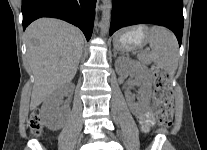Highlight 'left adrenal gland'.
<instances>
[{
    "instance_id": "obj_1",
    "label": "left adrenal gland",
    "mask_w": 207,
    "mask_h": 150,
    "mask_svg": "<svg viewBox=\"0 0 207 150\" xmlns=\"http://www.w3.org/2000/svg\"><path fill=\"white\" fill-rule=\"evenodd\" d=\"M116 54H117V52H116V50H114V56H116Z\"/></svg>"
}]
</instances>
